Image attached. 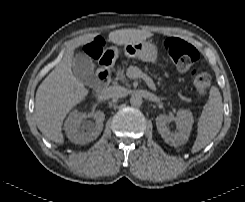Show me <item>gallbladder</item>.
<instances>
[{
  "instance_id": "gallbladder-1",
  "label": "gallbladder",
  "mask_w": 245,
  "mask_h": 202,
  "mask_svg": "<svg viewBox=\"0 0 245 202\" xmlns=\"http://www.w3.org/2000/svg\"><path fill=\"white\" fill-rule=\"evenodd\" d=\"M72 72L84 84L92 83L95 80L92 59L84 53H77L73 58Z\"/></svg>"
}]
</instances>
